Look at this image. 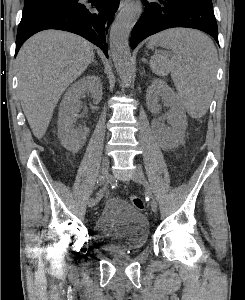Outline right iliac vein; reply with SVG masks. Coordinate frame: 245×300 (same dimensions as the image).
I'll return each mask as SVG.
<instances>
[{
    "instance_id": "right-iliac-vein-1",
    "label": "right iliac vein",
    "mask_w": 245,
    "mask_h": 300,
    "mask_svg": "<svg viewBox=\"0 0 245 300\" xmlns=\"http://www.w3.org/2000/svg\"><path fill=\"white\" fill-rule=\"evenodd\" d=\"M108 170H109V158L108 156H104L102 159V164H101V175L102 177H108ZM96 204L94 203V199H89L88 200V206L93 207Z\"/></svg>"
}]
</instances>
